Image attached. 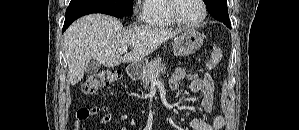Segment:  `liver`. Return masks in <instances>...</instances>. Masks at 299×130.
I'll list each match as a JSON object with an SVG mask.
<instances>
[{
    "mask_svg": "<svg viewBox=\"0 0 299 130\" xmlns=\"http://www.w3.org/2000/svg\"><path fill=\"white\" fill-rule=\"evenodd\" d=\"M181 30L138 26L124 30L115 17L90 14L76 20L64 33L63 50L68 63L71 85L81 81L90 60L106 67L136 62L154 52L162 43L177 36ZM130 46L131 52L120 56L118 51Z\"/></svg>",
    "mask_w": 299,
    "mask_h": 130,
    "instance_id": "6515ba94",
    "label": "liver"
}]
</instances>
